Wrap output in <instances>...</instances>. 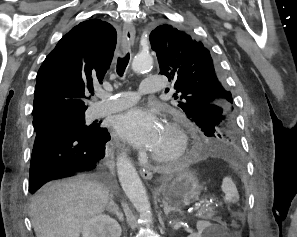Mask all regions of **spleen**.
<instances>
[{
    "label": "spleen",
    "mask_w": 297,
    "mask_h": 237,
    "mask_svg": "<svg viewBox=\"0 0 297 237\" xmlns=\"http://www.w3.org/2000/svg\"><path fill=\"white\" fill-rule=\"evenodd\" d=\"M221 189L229 202H236L239 199L237 188L231 178L225 177L223 179Z\"/></svg>",
    "instance_id": "1"
}]
</instances>
